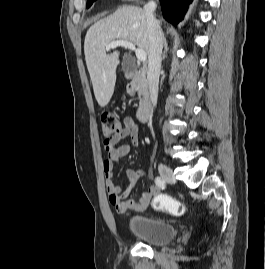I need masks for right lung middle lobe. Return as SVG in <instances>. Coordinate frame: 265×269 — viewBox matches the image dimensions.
Wrapping results in <instances>:
<instances>
[{"mask_svg": "<svg viewBox=\"0 0 265 269\" xmlns=\"http://www.w3.org/2000/svg\"><path fill=\"white\" fill-rule=\"evenodd\" d=\"M94 1L96 0H87V8H89Z\"/></svg>", "mask_w": 265, "mask_h": 269, "instance_id": "dd1d6c3e", "label": "right lung middle lobe"}]
</instances>
